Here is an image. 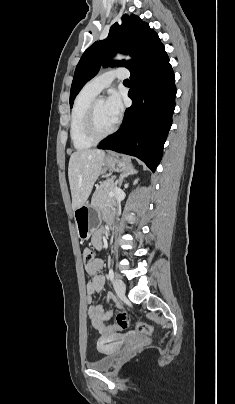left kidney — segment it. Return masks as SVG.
<instances>
[{
    "label": "left kidney",
    "instance_id": "obj_1",
    "mask_svg": "<svg viewBox=\"0 0 235 404\" xmlns=\"http://www.w3.org/2000/svg\"><path fill=\"white\" fill-rule=\"evenodd\" d=\"M138 182V179H136L135 181H134V184H136Z\"/></svg>",
    "mask_w": 235,
    "mask_h": 404
}]
</instances>
